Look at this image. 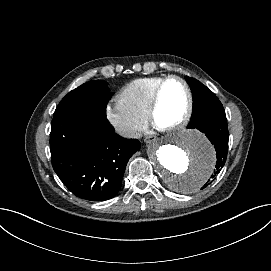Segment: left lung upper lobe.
<instances>
[{
    "label": "left lung upper lobe",
    "instance_id": "left-lung-upper-lobe-1",
    "mask_svg": "<svg viewBox=\"0 0 271 271\" xmlns=\"http://www.w3.org/2000/svg\"><path fill=\"white\" fill-rule=\"evenodd\" d=\"M193 94V112L188 128L194 125L210 107L222 106L218 97L198 80L185 76Z\"/></svg>",
    "mask_w": 271,
    "mask_h": 271
}]
</instances>
